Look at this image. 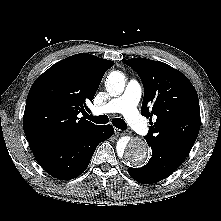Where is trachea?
I'll use <instances>...</instances> for the list:
<instances>
[{
    "label": "trachea",
    "mask_w": 221,
    "mask_h": 221,
    "mask_svg": "<svg viewBox=\"0 0 221 221\" xmlns=\"http://www.w3.org/2000/svg\"><path fill=\"white\" fill-rule=\"evenodd\" d=\"M86 118L96 124H106L109 122V118L107 115H100V116H92V115H87ZM112 124L121 130H125L127 129V124L125 123L124 120L120 119V118H115L112 120Z\"/></svg>",
    "instance_id": "3493384b"
}]
</instances>
